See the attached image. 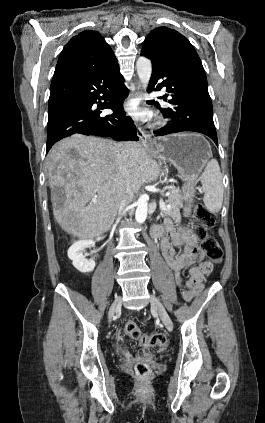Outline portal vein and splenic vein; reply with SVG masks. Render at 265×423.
Masks as SVG:
<instances>
[{"instance_id":"1","label":"portal vein and splenic vein","mask_w":265,"mask_h":423,"mask_svg":"<svg viewBox=\"0 0 265 423\" xmlns=\"http://www.w3.org/2000/svg\"><path fill=\"white\" fill-rule=\"evenodd\" d=\"M167 189H174V186H166V187L164 188V190H167ZM164 190H163L162 192H164ZM91 202H92L93 204H96V203H97V199H96V198H93V199L91 200ZM159 204H160V209H161L162 211H164V210H166L167 208H169V205H166V203L164 202V200H163L162 198L160 199Z\"/></svg>"}]
</instances>
